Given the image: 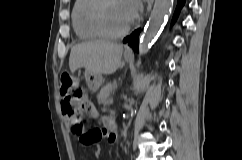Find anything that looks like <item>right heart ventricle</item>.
Segmentation results:
<instances>
[{
	"label": "right heart ventricle",
	"mask_w": 242,
	"mask_h": 160,
	"mask_svg": "<svg viewBox=\"0 0 242 160\" xmlns=\"http://www.w3.org/2000/svg\"><path fill=\"white\" fill-rule=\"evenodd\" d=\"M97 0H76L72 10V25L75 34L81 40L100 39V34L91 21V11Z\"/></svg>",
	"instance_id": "1"
}]
</instances>
